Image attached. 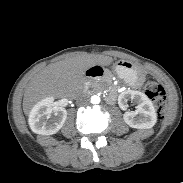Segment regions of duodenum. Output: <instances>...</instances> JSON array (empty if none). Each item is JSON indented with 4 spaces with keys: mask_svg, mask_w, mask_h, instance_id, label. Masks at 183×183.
Returning <instances> with one entry per match:
<instances>
[{
    "mask_svg": "<svg viewBox=\"0 0 183 183\" xmlns=\"http://www.w3.org/2000/svg\"><path fill=\"white\" fill-rule=\"evenodd\" d=\"M85 74H86V77L89 80H95V79H98V78L102 77L105 74V71L101 66L94 65V66L89 67L86 70ZM108 100L112 101L113 100V95H110L108 97Z\"/></svg>",
    "mask_w": 183,
    "mask_h": 183,
    "instance_id": "1",
    "label": "duodenum"
}]
</instances>
